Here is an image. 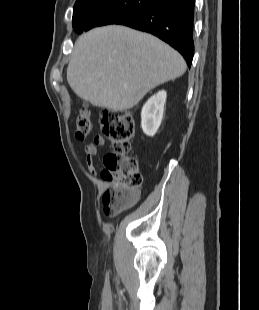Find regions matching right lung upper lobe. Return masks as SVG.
I'll list each match as a JSON object with an SVG mask.
<instances>
[{
	"label": "right lung upper lobe",
	"mask_w": 259,
	"mask_h": 310,
	"mask_svg": "<svg viewBox=\"0 0 259 310\" xmlns=\"http://www.w3.org/2000/svg\"><path fill=\"white\" fill-rule=\"evenodd\" d=\"M100 1H103V0H76V3L74 5V9L83 8V7H86L89 5H93V4L100 2Z\"/></svg>",
	"instance_id": "cb5924a9"
}]
</instances>
